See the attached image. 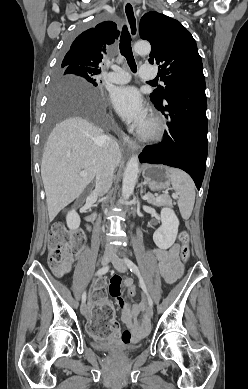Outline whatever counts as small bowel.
Wrapping results in <instances>:
<instances>
[{"mask_svg":"<svg viewBox=\"0 0 248 389\" xmlns=\"http://www.w3.org/2000/svg\"><path fill=\"white\" fill-rule=\"evenodd\" d=\"M180 246L175 244L170 249L164 250L154 248L153 253L158 263L161 277L166 283H174L182 274V267L178 262ZM110 285L106 286V291L110 292L111 297L121 309V321L126 329L123 331L122 338L127 339L123 343L137 342L148 333V324L145 319L140 320L138 314L145 310V301L135 305H128L121 296L122 288L129 289L130 284H134L132 278L121 279L118 272H113L110 278ZM90 316V314H89ZM112 330H117L112 328Z\"/></svg>","mask_w":248,"mask_h":389,"instance_id":"small-bowel-1","label":"small bowel"}]
</instances>
